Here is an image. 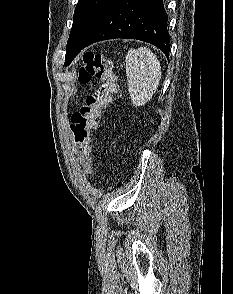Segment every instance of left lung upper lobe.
<instances>
[{"label": "left lung upper lobe", "mask_w": 233, "mask_h": 294, "mask_svg": "<svg viewBox=\"0 0 233 294\" xmlns=\"http://www.w3.org/2000/svg\"><path fill=\"white\" fill-rule=\"evenodd\" d=\"M111 0H79L66 48L65 65L82 50L84 41Z\"/></svg>", "instance_id": "1"}]
</instances>
